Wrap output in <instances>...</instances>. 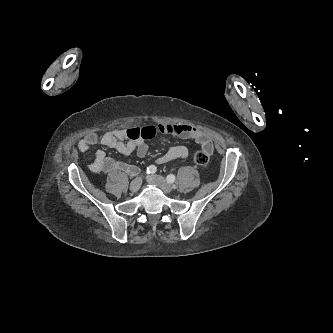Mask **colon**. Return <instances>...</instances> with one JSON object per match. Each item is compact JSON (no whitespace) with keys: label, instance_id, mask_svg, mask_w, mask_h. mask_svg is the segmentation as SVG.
I'll return each instance as SVG.
<instances>
[{"label":"colon","instance_id":"obj_1","mask_svg":"<svg viewBox=\"0 0 333 333\" xmlns=\"http://www.w3.org/2000/svg\"><path fill=\"white\" fill-rule=\"evenodd\" d=\"M194 161L199 166H205L209 162V155L203 150L197 151L194 155Z\"/></svg>","mask_w":333,"mask_h":333}]
</instances>
